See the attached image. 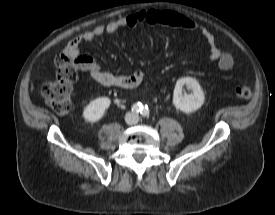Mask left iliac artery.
<instances>
[{
    "mask_svg": "<svg viewBox=\"0 0 275 215\" xmlns=\"http://www.w3.org/2000/svg\"><path fill=\"white\" fill-rule=\"evenodd\" d=\"M141 115L143 117H148L149 116V109H148V106L145 105L144 107H142V110H141Z\"/></svg>",
    "mask_w": 275,
    "mask_h": 215,
    "instance_id": "44dca946",
    "label": "left iliac artery"
}]
</instances>
